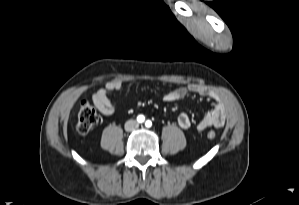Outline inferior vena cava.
<instances>
[{
	"instance_id": "1",
	"label": "inferior vena cava",
	"mask_w": 299,
	"mask_h": 205,
	"mask_svg": "<svg viewBox=\"0 0 299 205\" xmlns=\"http://www.w3.org/2000/svg\"><path fill=\"white\" fill-rule=\"evenodd\" d=\"M137 127H138V123L134 120L127 121L126 124H125V129L127 131H132Z\"/></svg>"
}]
</instances>
